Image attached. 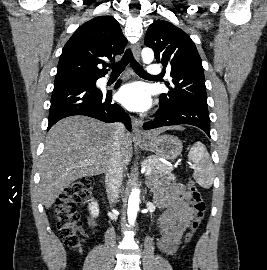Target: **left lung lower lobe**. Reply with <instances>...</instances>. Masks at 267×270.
<instances>
[{
  "label": "left lung lower lobe",
  "mask_w": 267,
  "mask_h": 270,
  "mask_svg": "<svg viewBox=\"0 0 267 270\" xmlns=\"http://www.w3.org/2000/svg\"><path fill=\"white\" fill-rule=\"evenodd\" d=\"M157 117L143 124L144 130L163 126L188 124L202 129L210 137V118L207 106L195 103H183L173 106H162L159 103Z\"/></svg>",
  "instance_id": "left-lung-lower-lobe-1"
}]
</instances>
